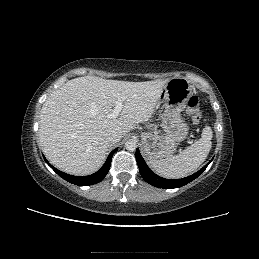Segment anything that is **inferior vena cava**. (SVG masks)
<instances>
[{
  "mask_svg": "<svg viewBox=\"0 0 259 259\" xmlns=\"http://www.w3.org/2000/svg\"><path fill=\"white\" fill-rule=\"evenodd\" d=\"M121 137V132L113 130L107 134L106 139L109 143H116L121 139Z\"/></svg>",
  "mask_w": 259,
  "mask_h": 259,
  "instance_id": "602c4592",
  "label": "inferior vena cava"
}]
</instances>
